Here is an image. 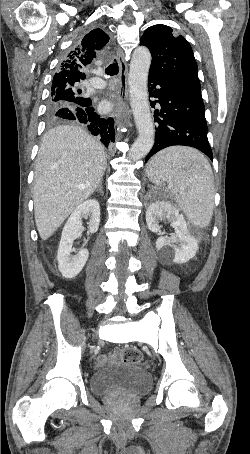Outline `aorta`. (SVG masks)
<instances>
[{"label": "aorta", "instance_id": "obj_1", "mask_svg": "<svg viewBox=\"0 0 250 454\" xmlns=\"http://www.w3.org/2000/svg\"><path fill=\"white\" fill-rule=\"evenodd\" d=\"M150 64V51L143 46L136 48L132 55L128 77L130 105L138 130V138L128 154L131 160L145 157L154 144L155 129L149 107L147 87Z\"/></svg>", "mask_w": 250, "mask_h": 454}]
</instances>
